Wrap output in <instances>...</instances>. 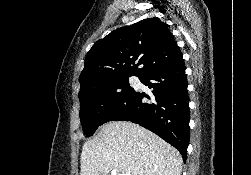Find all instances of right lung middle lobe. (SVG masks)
Wrapping results in <instances>:
<instances>
[{
    "label": "right lung middle lobe",
    "mask_w": 251,
    "mask_h": 175,
    "mask_svg": "<svg viewBox=\"0 0 251 175\" xmlns=\"http://www.w3.org/2000/svg\"><path fill=\"white\" fill-rule=\"evenodd\" d=\"M129 77H119L107 84L82 87L79 92L80 119L86 135H92L102 125L104 116L134 91Z\"/></svg>",
    "instance_id": "right-lung-middle-lobe-1"
}]
</instances>
